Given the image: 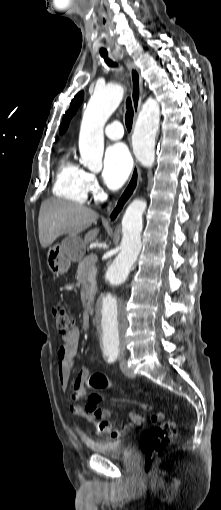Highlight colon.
<instances>
[{
    "label": "colon",
    "instance_id": "1",
    "mask_svg": "<svg viewBox=\"0 0 221 510\" xmlns=\"http://www.w3.org/2000/svg\"><path fill=\"white\" fill-rule=\"evenodd\" d=\"M52 315L56 328L62 337H65L74 326V317L72 313L63 306L57 305L52 308ZM88 386L93 390H104L111 386L107 377L94 372L88 378ZM101 401V396L97 393L88 396L86 411L88 420L95 424L98 429L104 428L105 419L110 415L107 409L97 408L96 405ZM175 410L176 404L172 405ZM163 418L161 413L153 414L150 418L155 423ZM178 434V424L175 421H165L158 427L151 429L144 441V471L146 474L152 472L154 462L157 458L172 444Z\"/></svg>",
    "mask_w": 221,
    "mask_h": 510
}]
</instances>
